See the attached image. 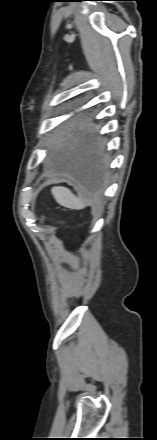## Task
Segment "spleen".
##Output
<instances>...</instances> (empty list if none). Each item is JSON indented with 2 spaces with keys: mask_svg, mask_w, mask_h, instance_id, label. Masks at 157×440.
Returning a JSON list of instances; mask_svg holds the SVG:
<instances>
[{
  "mask_svg": "<svg viewBox=\"0 0 157 440\" xmlns=\"http://www.w3.org/2000/svg\"><path fill=\"white\" fill-rule=\"evenodd\" d=\"M51 193L54 196L55 200L58 204L63 207L75 210L84 209L86 204L85 202L76 197L72 191L66 187H52Z\"/></svg>",
  "mask_w": 157,
  "mask_h": 440,
  "instance_id": "obj_1",
  "label": "spleen"
}]
</instances>
